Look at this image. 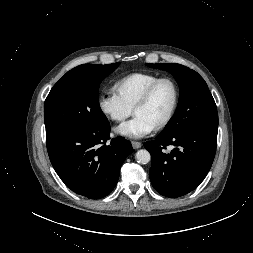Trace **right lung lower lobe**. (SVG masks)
Returning <instances> with one entry per match:
<instances>
[{"label": "right lung lower lobe", "mask_w": 253, "mask_h": 253, "mask_svg": "<svg viewBox=\"0 0 253 253\" xmlns=\"http://www.w3.org/2000/svg\"><path fill=\"white\" fill-rule=\"evenodd\" d=\"M110 124L65 128L46 134L50 161L73 192L100 199L114 189L124 160L132 153L130 141L119 136L109 144Z\"/></svg>", "instance_id": "obj_1"}]
</instances>
